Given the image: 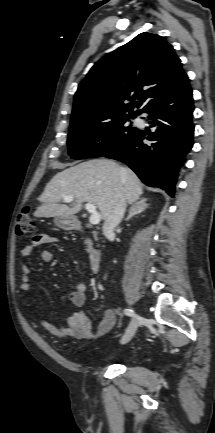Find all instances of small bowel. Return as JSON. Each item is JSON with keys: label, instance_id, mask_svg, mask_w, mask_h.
<instances>
[{"label": "small bowel", "instance_id": "small-bowel-1", "mask_svg": "<svg viewBox=\"0 0 215 433\" xmlns=\"http://www.w3.org/2000/svg\"><path fill=\"white\" fill-rule=\"evenodd\" d=\"M56 242V238L49 233H39L33 238L32 244H27L21 248L20 254L27 258L32 254L34 246H45ZM42 263L48 264L53 260V253L49 249H45L40 254ZM31 268L25 264L21 268V284L20 292L23 298H26L31 293L30 283ZM87 284L83 281L77 282L74 291L70 293L69 300L75 307H81L86 300ZM40 325L51 335L59 338H75L78 340L93 341L108 333L116 324V315L111 309H107L103 318L99 322L95 332L91 330V323L83 311H74L66 321V326L59 328L53 325L44 317H39Z\"/></svg>", "mask_w": 215, "mask_h": 433}]
</instances>
